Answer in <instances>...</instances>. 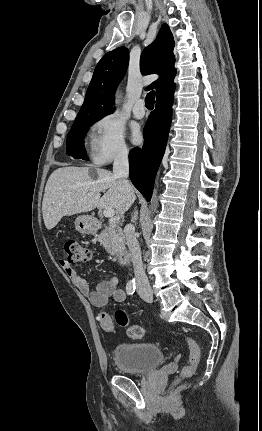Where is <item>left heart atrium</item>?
Masks as SVG:
<instances>
[{
  "instance_id": "left-heart-atrium-1",
  "label": "left heart atrium",
  "mask_w": 262,
  "mask_h": 431,
  "mask_svg": "<svg viewBox=\"0 0 262 431\" xmlns=\"http://www.w3.org/2000/svg\"><path fill=\"white\" fill-rule=\"evenodd\" d=\"M142 140V135L139 131V129L135 128L132 131V141L134 144H139Z\"/></svg>"
}]
</instances>
